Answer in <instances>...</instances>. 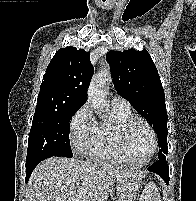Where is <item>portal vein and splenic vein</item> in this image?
I'll return each mask as SVG.
<instances>
[{"mask_svg":"<svg viewBox=\"0 0 196 201\" xmlns=\"http://www.w3.org/2000/svg\"><path fill=\"white\" fill-rule=\"evenodd\" d=\"M82 194H83V192H80V193H79V197H80V198L82 197Z\"/></svg>","mask_w":196,"mask_h":201,"instance_id":"obj_1","label":"portal vein and splenic vein"}]
</instances>
